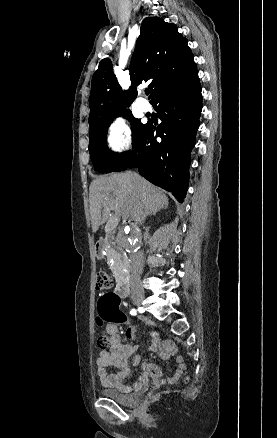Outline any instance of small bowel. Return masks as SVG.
<instances>
[{
    "label": "small bowel",
    "mask_w": 277,
    "mask_h": 438,
    "mask_svg": "<svg viewBox=\"0 0 277 438\" xmlns=\"http://www.w3.org/2000/svg\"><path fill=\"white\" fill-rule=\"evenodd\" d=\"M126 331L130 338L135 337V328L131 325L127 326ZM106 332L110 337V344L108 348L103 349L96 359V367L101 383L105 387H113L117 390L127 393L131 388L125 384V380L130 375L129 361L134 352V348L121 341L119 330L115 325H109L106 328ZM156 335V332H153ZM154 348L159 350L160 355L163 358H169L176 353L172 342L167 341L161 346L162 338L157 336L154 338ZM139 361L138 357L134 359V362ZM175 361L178 368L174 375L170 378L171 381H177L186 369V365L180 356H175ZM143 370L140 380L134 385V389H141L144 387L150 379L160 381L163 378L162 372L153 366V362L150 359H145L142 362ZM112 366L116 368V371L107 373L106 367Z\"/></svg>",
    "instance_id": "small-bowel-1"
}]
</instances>
